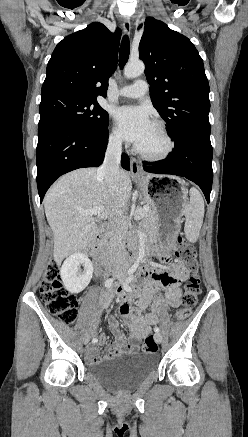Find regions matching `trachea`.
Listing matches in <instances>:
<instances>
[{
  "instance_id": "3493384b",
  "label": "trachea",
  "mask_w": 248,
  "mask_h": 437,
  "mask_svg": "<svg viewBox=\"0 0 248 437\" xmlns=\"http://www.w3.org/2000/svg\"><path fill=\"white\" fill-rule=\"evenodd\" d=\"M129 52H130V42L129 37L125 35L122 38L120 51H119V67L122 69L129 58Z\"/></svg>"
}]
</instances>
